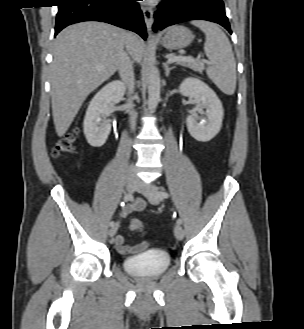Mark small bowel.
<instances>
[{
    "mask_svg": "<svg viewBox=\"0 0 304 329\" xmlns=\"http://www.w3.org/2000/svg\"><path fill=\"white\" fill-rule=\"evenodd\" d=\"M145 207H146L145 201L142 199H137L133 203L125 206L121 210V214L123 216H126L127 214H129L132 211H141ZM148 246H149V243L146 241H143L136 245H128L125 243V238L123 235H117L115 237V247L119 253L124 254V255H129V254L144 251L148 248Z\"/></svg>",
    "mask_w": 304,
    "mask_h": 329,
    "instance_id": "1",
    "label": "small bowel"
}]
</instances>
